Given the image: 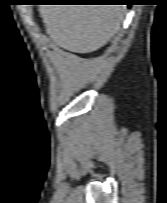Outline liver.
Returning a JSON list of instances; mask_svg holds the SVG:
<instances>
[{
  "instance_id": "obj_1",
  "label": "liver",
  "mask_w": 167,
  "mask_h": 203,
  "mask_svg": "<svg viewBox=\"0 0 167 203\" xmlns=\"http://www.w3.org/2000/svg\"><path fill=\"white\" fill-rule=\"evenodd\" d=\"M124 5H40L47 34L68 51L90 53L104 46L123 22Z\"/></svg>"
}]
</instances>
